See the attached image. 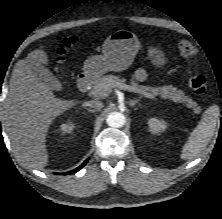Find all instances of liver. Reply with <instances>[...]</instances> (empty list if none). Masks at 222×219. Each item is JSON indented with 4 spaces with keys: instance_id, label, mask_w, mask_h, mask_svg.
I'll list each match as a JSON object with an SVG mask.
<instances>
[{
    "instance_id": "6515ba94",
    "label": "liver",
    "mask_w": 222,
    "mask_h": 219,
    "mask_svg": "<svg viewBox=\"0 0 222 219\" xmlns=\"http://www.w3.org/2000/svg\"><path fill=\"white\" fill-rule=\"evenodd\" d=\"M36 62L49 63L44 50H33L15 64L4 105V124L20 161L42 169L48 163L46 133L50 124L77 102L55 97L33 72Z\"/></svg>"
}]
</instances>
